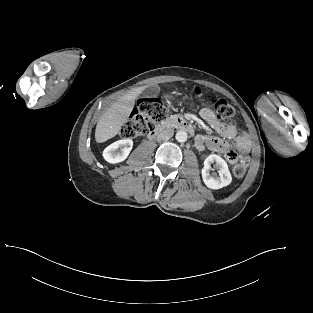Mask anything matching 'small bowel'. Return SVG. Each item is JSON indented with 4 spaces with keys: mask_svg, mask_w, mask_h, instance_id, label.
<instances>
[{
    "mask_svg": "<svg viewBox=\"0 0 313 313\" xmlns=\"http://www.w3.org/2000/svg\"><path fill=\"white\" fill-rule=\"evenodd\" d=\"M202 119L214 129L220 137L198 135L195 139L197 149L208 148L214 152L226 155L230 151V140H233L235 148L245 156L253 146L251 135L245 131H239L237 127L230 123L222 122L217 118L210 108H203L200 111Z\"/></svg>",
    "mask_w": 313,
    "mask_h": 313,
    "instance_id": "c3829d8e",
    "label": "small bowel"
}]
</instances>
